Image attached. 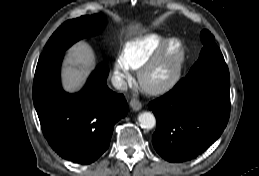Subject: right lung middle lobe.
Masks as SVG:
<instances>
[{
	"mask_svg": "<svg viewBox=\"0 0 259 176\" xmlns=\"http://www.w3.org/2000/svg\"><path fill=\"white\" fill-rule=\"evenodd\" d=\"M104 23L102 14L82 16L64 22L48 40L39 61L50 58L59 52H64L73 43L82 38L100 33L104 27Z\"/></svg>",
	"mask_w": 259,
	"mask_h": 176,
	"instance_id": "1",
	"label": "right lung middle lobe"
}]
</instances>
